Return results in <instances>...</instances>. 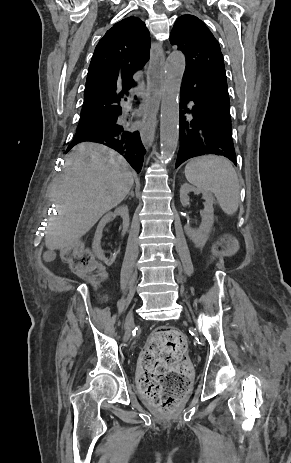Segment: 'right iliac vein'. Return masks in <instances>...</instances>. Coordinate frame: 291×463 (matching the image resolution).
Wrapping results in <instances>:
<instances>
[{"mask_svg":"<svg viewBox=\"0 0 291 463\" xmlns=\"http://www.w3.org/2000/svg\"><path fill=\"white\" fill-rule=\"evenodd\" d=\"M132 325H133V313L129 312L126 317V323H125L126 334L129 333L130 329L132 328Z\"/></svg>","mask_w":291,"mask_h":463,"instance_id":"63e3f726","label":"right iliac vein"}]
</instances>
